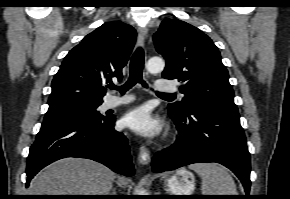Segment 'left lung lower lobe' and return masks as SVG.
I'll list each match as a JSON object with an SVG mask.
<instances>
[{
	"label": "left lung lower lobe",
	"instance_id": "1",
	"mask_svg": "<svg viewBox=\"0 0 290 199\" xmlns=\"http://www.w3.org/2000/svg\"><path fill=\"white\" fill-rule=\"evenodd\" d=\"M179 137L169 148L155 154L156 173L203 162H217L242 182L246 195L250 190V155L239 115L221 113L194 105L182 114L169 112Z\"/></svg>",
	"mask_w": 290,
	"mask_h": 199
}]
</instances>
